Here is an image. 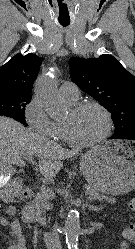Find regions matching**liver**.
Here are the masks:
<instances>
[{"mask_svg":"<svg viewBox=\"0 0 135 249\" xmlns=\"http://www.w3.org/2000/svg\"><path fill=\"white\" fill-rule=\"evenodd\" d=\"M78 150H66L22 126L14 119L0 116V162L25 166L22 157L36 156L39 159L40 173L53 178L62 168V160L71 158ZM6 181L0 179V187Z\"/></svg>","mask_w":135,"mask_h":249,"instance_id":"obj_1","label":"liver"}]
</instances>
